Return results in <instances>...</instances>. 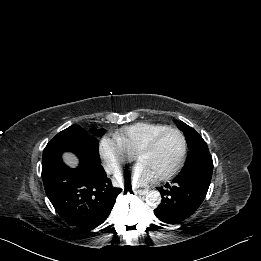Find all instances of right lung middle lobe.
Segmentation results:
<instances>
[{
  "mask_svg": "<svg viewBox=\"0 0 261 261\" xmlns=\"http://www.w3.org/2000/svg\"><path fill=\"white\" fill-rule=\"evenodd\" d=\"M104 132L105 129H90V133L95 136H101ZM90 133H87L78 125H72L58 133L44 149L42 166L45 168L51 167L57 161L61 160L62 152L74 151L73 148L78 139H81L85 143L90 155L100 160L98 140L93 138Z\"/></svg>",
  "mask_w": 261,
  "mask_h": 261,
  "instance_id": "obj_1",
  "label": "right lung middle lobe"
}]
</instances>
